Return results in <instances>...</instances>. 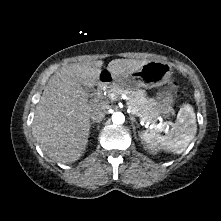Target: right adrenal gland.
Returning a JSON list of instances; mask_svg holds the SVG:
<instances>
[{
    "mask_svg": "<svg viewBox=\"0 0 221 221\" xmlns=\"http://www.w3.org/2000/svg\"><path fill=\"white\" fill-rule=\"evenodd\" d=\"M94 123H100V122L99 121H93V122H91V125H93ZM91 127H93V126H91Z\"/></svg>",
    "mask_w": 221,
    "mask_h": 221,
    "instance_id": "right-adrenal-gland-1",
    "label": "right adrenal gland"
}]
</instances>
